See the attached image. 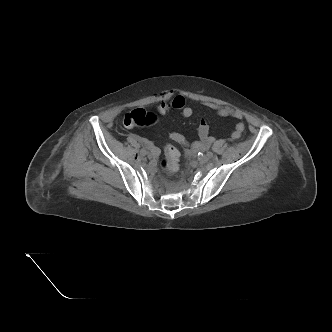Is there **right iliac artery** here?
I'll list each match as a JSON object with an SVG mask.
<instances>
[{"instance_id": "1", "label": "right iliac artery", "mask_w": 332, "mask_h": 332, "mask_svg": "<svg viewBox=\"0 0 332 332\" xmlns=\"http://www.w3.org/2000/svg\"><path fill=\"white\" fill-rule=\"evenodd\" d=\"M141 146L144 147V148H148V149L150 148L149 144L146 141H142Z\"/></svg>"}]
</instances>
